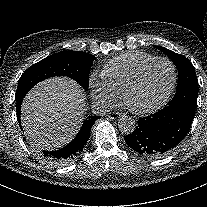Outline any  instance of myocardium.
Wrapping results in <instances>:
<instances>
[{"instance_id": "1", "label": "myocardium", "mask_w": 207, "mask_h": 207, "mask_svg": "<svg viewBox=\"0 0 207 207\" xmlns=\"http://www.w3.org/2000/svg\"><path fill=\"white\" fill-rule=\"evenodd\" d=\"M160 62H164L167 63L171 66L172 68V82H171V86L167 92L165 101L169 100L171 98V96L174 93L176 84H177V69L176 66L174 64L173 61H171L168 58H156L148 63H146L138 72L137 74L126 84L123 92H122V99L124 104L126 105V107L128 108V110L130 112H132L135 115H142L144 113V111L141 110H137L134 109L128 101L129 95L130 93L133 91V89L142 81L144 75L146 74V72L155 64L160 63Z\"/></svg>"}]
</instances>
